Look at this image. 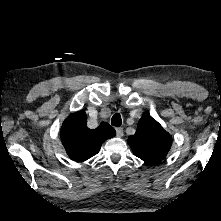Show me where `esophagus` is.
I'll list each match as a JSON object with an SVG mask.
<instances>
[{"label": "esophagus", "mask_w": 221, "mask_h": 221, "mask_svg": "<svg viewBox=\"0 0 221 221\" xmlns=\"http://www.w3.org/2000/svg\"><path fill=\"white\" fill-rule=\"evenodd\" d=\"M124 134L123 128H116V135L122 137Z\"/></svg>", "instance_id": "34e87169"}]
</instances>
